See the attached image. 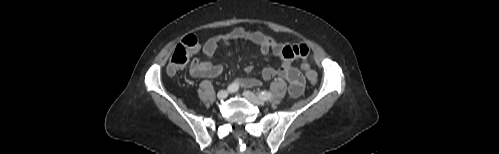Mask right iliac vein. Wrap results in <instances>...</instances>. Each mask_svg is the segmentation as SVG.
Segmentation results:
<instances>
[{
  "label": "right iliac vein",
  "instance_id": "1",
  "mask_svg": "<svg viewBox=\"0 0 499 154\" xmlns=\"http://www.w3.org/2000/svg\"><path fill=\"white\" fill-rule=\"evenodd\" d=\"M228 94H229V92H228V91H226V90H221V91H219V92L217 93V97H218L219 99H225V98H227Z\"/></svg>",
  "mask_w": 499,
  "mask_h": 154
}]
</instances>
